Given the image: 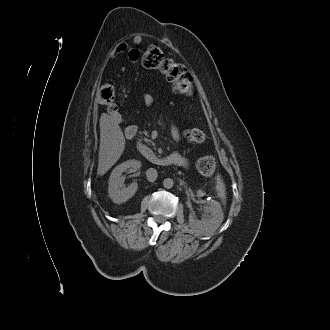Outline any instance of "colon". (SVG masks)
I'll use <instances>...</instances> for the list:
<instances>
[{"mask_svg": "<svg viewBox=\"0 0 330 330\" xmlns=\"http://www.w3.org/2000/svg\"><path fill=\"white\" fill-rule=\"evenodd\" d=\"M135 55V53L133 52ZM142 66L148 70H157L172 84V92L179 96H190L194 90V81L190 72L180 63L167 59L163 51L157 46H149L142 55ZM100 102L107 106L110 115L122 122L123 117L118 112L114 103L115 89L110 84H105L98 91ZM184 137L189 143L198 144L205 140V134L198 129H187ZM197 170L204 176H211L215 172L216 162L213 157L200 158L196 164Z\"/></svg>", "mask_w": 330, "mask_h": 330, "instance_id": "colon-1", "label": "colon"}]
</instances>
